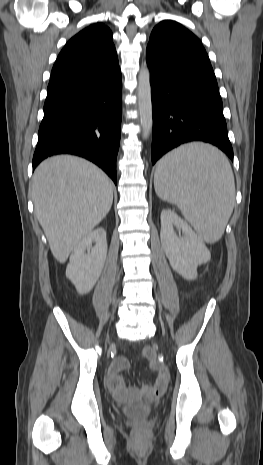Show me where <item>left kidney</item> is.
I'll return each instance as SVG.
<instances>
[{"instance_id":"5707ae66","label":"left kidney","mask_w":263,"mask_h":465,"mask_svg":"<svg viewBox=\"0 0 263 465\" xmlns=\"http://www.w3.org/2000/svg\"><path fill=\"white\" fill-rule=\"evenodd\" d=\"M160 238L173 270L184 279H196L197 267L210 259V252L189 224L174 211L164 209L161 212Z\"/></svg>"}]
</instances>
